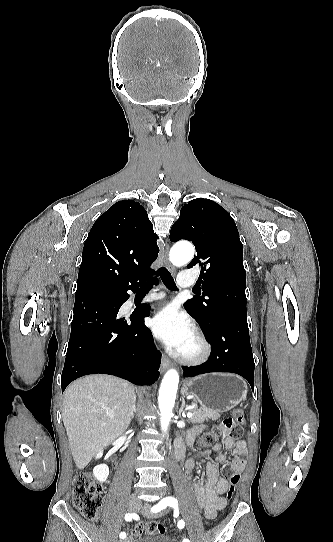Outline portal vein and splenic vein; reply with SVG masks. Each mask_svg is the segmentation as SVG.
<instances>
[{"label": "portal vein and splenic vein", "instance_id": "18ae733b", "mask_svg": "<svg viewBox=\"0 0 333 542\" xmlns=\"http://www.w3.org/2000/svg\"><path fill=\"white\" fill-rule=\"evenodd\" d=\"M187 418H193V414H192V412H188V414H187Z\"/></svg>", "mask_w": 333, "mask_h": 542}]
</instances>
